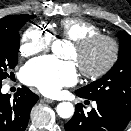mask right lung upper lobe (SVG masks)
<instances>
[{
	"label": "right lung upper lobe",
	"mask_w": 131,
	"mask_h": 131,
	"mask_svg": "<svg viewBox=\"0 0 131 131\" xmlns=\"http://www.w3.org/2000/svg\"><path fill=\"white\" fill-rule=\"evenodd\" d=\"M10 16H12V15H10ZM10 16H6V17L0 19V23H6L9 20Z\"/></svg>",
	"instance_id": "cb5924a9"
}]
</instances>
